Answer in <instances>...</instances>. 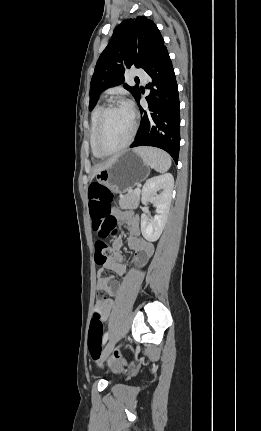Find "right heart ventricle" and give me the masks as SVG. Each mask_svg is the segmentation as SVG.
<instances>
[{
  "label": "right heart ventricle",
  "mask_w": 261,
  "mask_h": 431,
  "mask_svg": "<svg viewBox=\"0 0 261 431\" xmlns=\"http://www.w3.org/2000/svg\"><path fill=\"white\" fill-rule=\"evenodd\" d=\"M102 109H103L102 104H98L94 108V110L92 112V116H91V125H90V131H89V143H90L91 152H92L93 156L96 158H103L104 157L103 155H101L97 151L96 146H95V131H96L99 115H100Z\"/></svg>",
  "instance_id": "1"
}]
</instances>
